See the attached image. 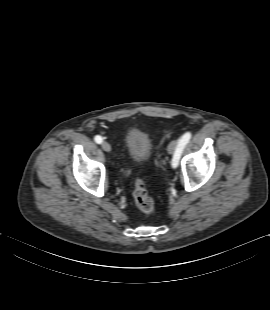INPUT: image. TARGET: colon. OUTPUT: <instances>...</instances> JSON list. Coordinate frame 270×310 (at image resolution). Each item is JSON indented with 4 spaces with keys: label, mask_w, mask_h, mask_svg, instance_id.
<instances>
[{
    "label": "colon",
    "mask_w": 270,
    "mask_h": 310,
    "mask_svg": "<svg viewBox=\"0 0 270 310\" xmlns=\"http://www.w3.org/2000/svg\"><path fill=\"white\" fill-rule=\"evenodd\" d=\"M133 197L136 206L144 213H152L155 210L154 201L148 193L144 180L137 179L135 181Z\"/></svg>",
    "instance_id": "5ec220e1"
}]
</instances>
